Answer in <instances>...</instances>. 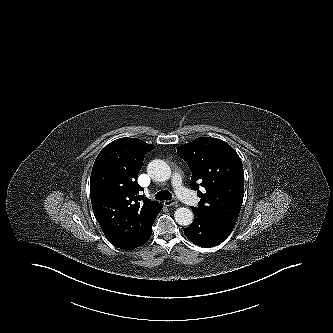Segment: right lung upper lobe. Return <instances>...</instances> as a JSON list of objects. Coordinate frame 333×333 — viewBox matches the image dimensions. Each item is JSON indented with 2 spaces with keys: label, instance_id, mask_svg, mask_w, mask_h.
Returning <instances> with one entry per match:
<instances>
[{
  "label": "right lung upper lobe",
  "instance_id": "right-lung-upper-lobe-1",
  "mask_svg": "<svg viewBox=\"0 0 333 333\" xmlns=\"http://www.w3.org/2000/svg\"><path fill=\"white\" fill-rule=\"evenodd\" d=\"M155 148L137 138H120L97 156L90 180L94 215L108 241L132 250L152 229L163 205L141 195L137 182L144 156Z\"/></svg>",
  "mask_w": 333,
  "mask_h": 333
}]
</instances>
